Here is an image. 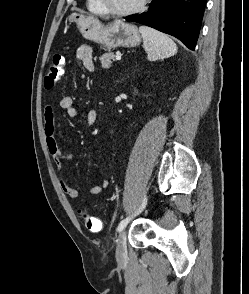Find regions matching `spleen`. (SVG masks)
I'll return each instance as SVG.
<instances>
[{"label": "spleen", "instance_id": "obj_1", "mask_svg": "<svg viewBox=\"0 0 249 294\" xmlns=\"http://www.w3.org/2000/svg\"><path fill=\"white\" fill-rule=\"evenodd\" d=\"M139 32L149 61L165 59L177 53V46L168 35L144 25L139 27Z\"/></svg>", "mask_w": 249, "mask_h": 294}]
</instances>
